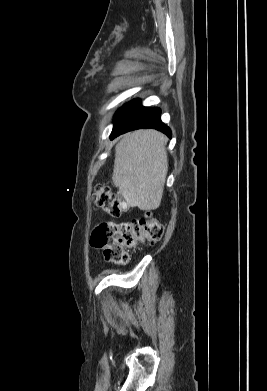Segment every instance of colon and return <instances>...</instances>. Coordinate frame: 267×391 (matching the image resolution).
I'll return each instance as SVG.
<instances>
[{"label":"colon","mask_w":267,"mask_h":391,"mask_svg":"<svg viewBox=\"0 0 267 391\" xmlns=\"http://www.w3.org/2000/svg\"><path fill=\"white\" fill-rule=\"evenodd\" d=\"M93 203L111 218L121 216L122 203L103 185L95 188ZM164 228L151 212L125 223L103 222L91 234V245L103 249L105 259L115 264L129 261L128 251L142 243H155L162 239Z\"/></svg>","instance_id":"obj_1"}]
</instances>
